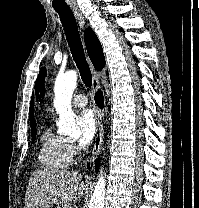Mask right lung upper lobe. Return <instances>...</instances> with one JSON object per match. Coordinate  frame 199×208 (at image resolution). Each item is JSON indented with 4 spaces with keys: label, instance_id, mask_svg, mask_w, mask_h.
Returning <instances> with one entry per match:
<instances>
[{
    "label": "right lung upper lobe",
    "instance_id": "cb5924a9",
    "mask_svg": "<svg viewBox=\"0 0 199 208\" xmlns=\"http://www.w3.org/2000/svg\"><path fill=\"white\" fill-rule=\"evenodd\" d=\"M84 41L88 55L94 67L97 70L103 69L105 65V57L103 54L102 46L94 31H92V29L87 28L84 31ZM29 119H30L31 131L35 130L36 123L33 117V97L30 103Z\"/></svg>",
    "mask_w": 199,
    "mask_h": 208
}]
</instances>
